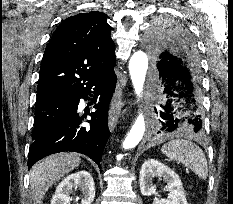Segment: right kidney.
<instances>
[{
	"label": "right kidney",
	"instance_id": "right-kidney-1",
	"mask_svg": "<svg viewBox=\"0 0 233 204\" xmlns=\"http://www.w3.org/2000/svg\"><path fill=\"white\" fill-rule=\"evenodd\" d=\"M80 190L82 193L81 204H91L95 198V185L91 174L81 170L65 177L57 186L51 204H69L70 194Z\"/></svg>",
	"mask_w": 233,
	"mask_h": 204
}]
</instances>
